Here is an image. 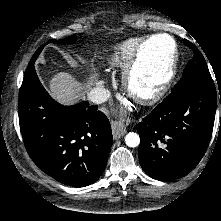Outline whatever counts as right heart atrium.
Returning <instances> with one entry per match:
<instances>
[{
    "label": "right heart atrium",
    "instance_id": "d8ad5b80",
    "mask_svg": "<svg viewBox=\"0 0 221 221\" xmlns=\"http://www.w3.org/2000/svg\"><path fill=\"white\" fill-rule=\"evenodd\" d=\"M96 82H97V83H99V82H100V80H99V79H96Z\"/></svg>",
    "mask_w": 221,
    "mask_h": 221
}]
</instances>
